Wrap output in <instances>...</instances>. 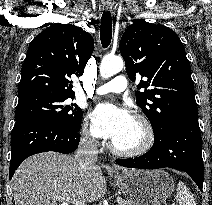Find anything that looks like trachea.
Here are the masks:
<instances>
[{
	"instance_id": "3493384b",
	"label": "trachea",
	"mask_w": 212,
	"mask_h": 205,
	"mask_svg": "<svg viewBox=\"0 0 212 205\" xmlns=\"http://www.w3.org/2000/svg\"><path fill=\"white\" fill-rule=\"evenodd\" d=\"M112 38V17L109 11L103 12L100 26V40L104 48H107Z\"/></svg>"
}]
</instances>
